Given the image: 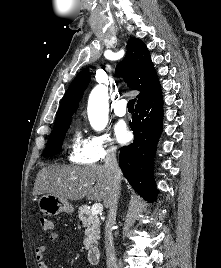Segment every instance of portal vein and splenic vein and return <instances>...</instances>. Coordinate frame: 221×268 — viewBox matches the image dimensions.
Returning a JSON list of instances; mask_svg holds the SVG:
<instances>
[{"label":"portal vein and splenic vein","mask_w":221,"mask_h":268,"mask_svg":"<svg viewBox=\"0 0 221 268\" xmlns=\"http://www.w3.org/2000/svg\"><path fill=\"white\" fill-rule=\"evenodd\" d=\"M102 210H103V205L101 203H95V204H93V206L91 208V214L97 215V214L101 213Z\"/></svg>","instance_id":"18ae733b"}]
</instances>
